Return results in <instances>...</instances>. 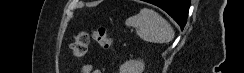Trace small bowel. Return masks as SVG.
Listing matches in <instances>:
<instances>
[{
	"instance_id": "c3829d8e",
	"label": "small bowel",
	"mask_w": 244,
	"mask_h": 73,
	"mask_svg": "<svg viewBox=\"0 0 244 73\" xmlns=\"http://www.w3.org/2000/svg\"><path fill=\"white\" fill-rule=\"evenodd\" d=\"M80 73H101V72L99 70H94L91 65L86 64L81 68Z\"/></svg>"
}]
</instances>
